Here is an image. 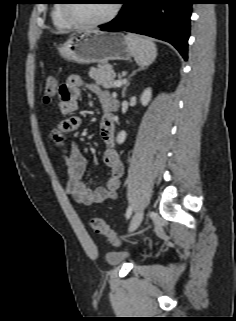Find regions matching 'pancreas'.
<instances>
[{"instance_id": "pancreas-1", "label": "pancreas", "mask_w": 236, "mask_h": 321, "mask_svg": "<svg viewBox=\"0 0 236 321\" xmlns=\"http://www.w3.org/2000/svg\"><path fill=\"white\" fill-rule=\"evenodd\" d=\"M89 76L96 81V83L102 85L104 88H115V73L112 65L108 63H101L97 65V68H90Z\"/></svg>"}]
</instances>
